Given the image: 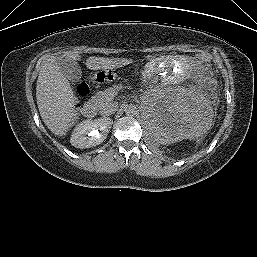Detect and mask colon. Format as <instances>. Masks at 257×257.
<instances>
[{"label":"colon","instance_id":"colon-1","mask_svg":"<svg viewBox=\"0 0 257 257\" xmlns=\"http://www.w3.org/2000/svg\"><path fill=\"white\" fill-rule=\"evenodd\" d=\"M197 59L202 63H208L211 60V57L208 54H198ZM117 77V72L114 70H103L95 73L92 78L91 82L93 83H104L108 81H112ZM89 91V84L87 82H83L78 87V93L80 95H86Z\"/></svg>","mask_w":257,"mask_h":257}]
</instances>
